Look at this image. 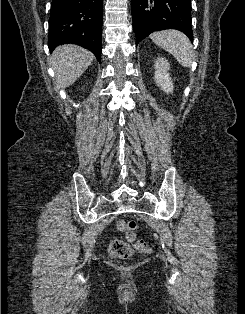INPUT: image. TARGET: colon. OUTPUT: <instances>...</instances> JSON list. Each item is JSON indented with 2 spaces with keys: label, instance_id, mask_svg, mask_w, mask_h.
I'll use <instances>...</instances> for the list:
<instances>
[{
  "label": "colon",
  "instance_id": "colon-1",
  "mask_svg": "<svg viewBox=\"0 0 245 314\" xmlns=\"http://www.w3.org/2000/svg\"><path fill=\"white\" fill-rule=\"evenodd\" d=\"M137 224L132 220H119L117 228L126 234L127 242L123 240H113L109 245V254L115 259H127L133 255V248L142 253L150 252V246L143 240H137L135 235Z\"/></svg>",
  "mask_w": 245,
  "mask_h": 314
}]
</instances>
